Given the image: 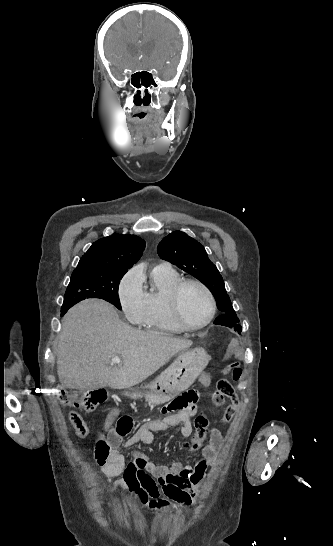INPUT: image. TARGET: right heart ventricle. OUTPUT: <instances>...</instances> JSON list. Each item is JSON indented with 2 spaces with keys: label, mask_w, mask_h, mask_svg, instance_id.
<instances>
[{
  "label": "right heart ventricle",
  "mask_w": 333,
  "mask_h": 546,
  "mask_svg": "<svg viewBox=\"0 0 333 546\" xmlns=\"http://www.w3.org/2000/svg\"><path fill=\"white\" fill-rule=\"evenodd\" d=\"M180 279V274L170 266L160 265L151 269L144 286L142 284L145 314L141 324L145 329L169 334L183 332L168 309L169 293Z\"/></svg>",
  "instance_id": "e07e8e85"
}]
</instances>
